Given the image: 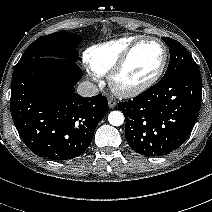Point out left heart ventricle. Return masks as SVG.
I'll return each instance as SVG.
<instances>
[{
    "mask_svg": "<svg viewBox=\"0 0 212 212\" xmlns=\"http://www.w3.org/2000/svg\"><path fill=\"white\" fill-rule=\"evenodd\" d=\"M162 59L163 50L159 44L143 43L131 56L120 76V83L123 86H133L147 80L157 71Z\"/></svg>",
    "mask_w": 212,
    "mask_h": 212,
    "instance_id": "b2bd125f",
    "label": "left heart ventricle"
}]
</instances>
